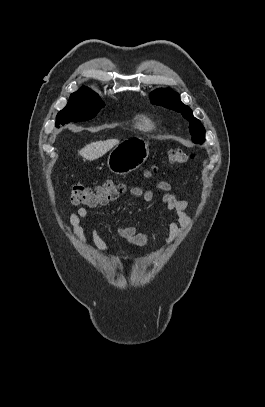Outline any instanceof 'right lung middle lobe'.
<instances>
[{"label": "right lung middle lobe", "instance_id": "dd1d6c3e", "mask_svg": "<svg viewBox=\"0 0 265 407\" xmlns=\"http://www.w3.org/2000/svg\"><path fill=\"white\" fill-rule=\"evenodd\" d=\"M103 106L95 92L82 88L70 96L67 106L57 114L56 126L92 119Z\"/></svg>", "mask_w": 265, "mask_h": 407}]
</instances>
